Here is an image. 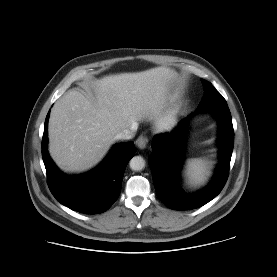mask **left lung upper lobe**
I'll return each instance as SVG.
<instances>
[{
	"instance_id": "5c2ea615",
	"label": "left lung upper lobe",
	"mask_w": 277,
	"mask_h": 277,
	"mask_svg": "<svg viewBox=\"0 0 277 277\" xmlns=\"http://www.w3.org/2000/svg\"><path fill=\"white\" fill-rule=\"evenodd\" d=\"M201 81L204 85L205 94L201 102L199 103L197 109L204 108L217 102H226L224 97L213 87V85L210 82L203 79H201Z\"/></svg>"
}]
</instances>
